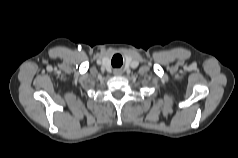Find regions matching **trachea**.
Here are the masks:
<instances>
[{
  "instance_id": "trachea-1",
  "label": "trachea",
  "mask_w": 238,
  "mask_h": 158,
  "mask_svg": "<svg viewBox=\"0 0 238 158\" xmlns=\"http://www.w3.org/2000/svg\"><path fill=\"white\" fill-rule=\"evenodd\" d=\"M122 62V57L120 55H115L111 61V64L113 67H120Z\"/></svg>"
}]
</instances>
